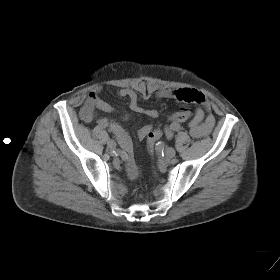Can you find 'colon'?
I'll return each mask as SVG.
<instances>
[{"label":"colon","mask_w":280,"mask_h":280,"mask_svg":"<svg viewBox=\"0 0 280 280\" xmlns=\"http://www.w3.org/2000/svg\"><path fill=\"white\" fill-rule=\"evenodd\" d=\"M191 113L188 109H181L169 117V124L173 122H183L190 117ZM162 136V129L156 128L148 132L147 134V147L150 153H154L156 144Z\"/></svg>","instance_id":"colon-1"}]
</instances>
